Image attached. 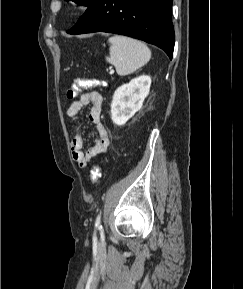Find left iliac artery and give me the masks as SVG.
Returning <instances> with one entry per match:
<instances>
[{
    "label": "left iliac artery",
    "instance_id": "1",
    "mask_svg": "<svg viewBox=\"0 0 243 289\" xmlns=\"http://www.w3.org/2000/svg\"><path fill=\"white\" fill-rule=\"evenodd\" d=\"M95 227L96 228H101V212L98 214L96 221H95Z\"/></svg>",
    "mask_w": 243,
    "mask_h": 289
}]
</instances>
